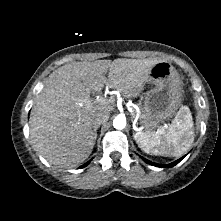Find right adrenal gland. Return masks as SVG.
Masks as SVG:
<instances>
[{
	"mask_svg": "<svg viewBox=\"0 0 221 221\" xmlns=\"http://www.w3.org/2000/svg\"><path fill=\"white\" fill-rule=\"evenodd\" d=\"M99 127H100V125H97V126L94 127V139L95 140L97 138V130H98Z\"/></svg>",
	"mask_w": 221,
	"mask_h": 221,
	"instance_id": "obj_1",
	"label": "right adrenal gland"
}]
</instances>
